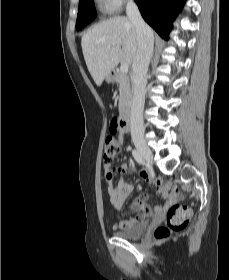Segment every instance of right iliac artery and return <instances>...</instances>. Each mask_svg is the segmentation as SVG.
<instances>
[{"label": "right iliac artery", "instance_id": "right-iliac-artery-1", "mask_svg": "<svg viewBox=\"0 0 229 280\" xmlns=\"http://www.w3.org/2000/svg\"><path fill=\"white\" fill-rule=\"evenodd\" d=\"M132 155H133V157H134V159L136 160L137 163H139L141 165L145 164L144 159L142 158V156L140 155V153L137 150L134 149L132 151Z\"/></svg>", "mask_w": 229, "mask_h": 280}]
</instances>
